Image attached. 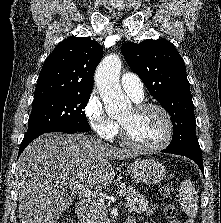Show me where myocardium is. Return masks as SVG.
Returning <instances> with one entry per match:
<instances>
[{
    "mask_svg": "<svg viewBox=\"0 0 221 223\" xmlns=\"http://www.w3.org/2000/svg\"><path fill=\"white\" fill-rule=\"evenodd\" d=\"M133 109L135 111H144V110H148V109H153V110L160 112L166 121V125H167L166 134H165L164 138L159 143H157L155 145L140 144V143L133 141L129 137L126 127L121 122H119L120 137H121L122 142L126 146H128L134 150H137V151L156 152V151L165 149L171 143L173 136H174V123H173L170 113L162 105L156 104V103H149V102L138 103V104L134 105Z\"/></svg>",
    "mask_w": 221,
    "mask_h": 223,
    "instance_id": "obj_1",
    "label": "myocardium"
}]
</instances>
